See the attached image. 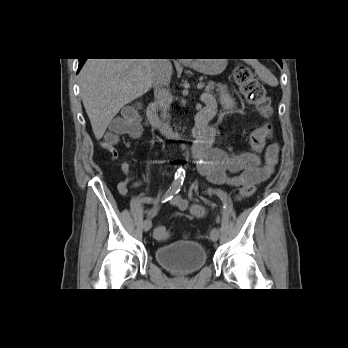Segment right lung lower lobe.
<instances>
[{
    "instance_id": "right-lung-lower-lobe-1",
    "label": "right lung lower lobe",
    "mask_w": 348,
    "mask_h": 348,
    "mask_svg": "<svg viewBox=\"0 0 348 348\" xmlns=\"http://www.w3.org/2000/svg\"><path fill=\"white\" fill-rule=\"evenodd\" d=\"M86 59H79V66H78V71L77 73L80 71V69L82 68L83 64L85 63Z\"/></svg>"
}]
</instances>
